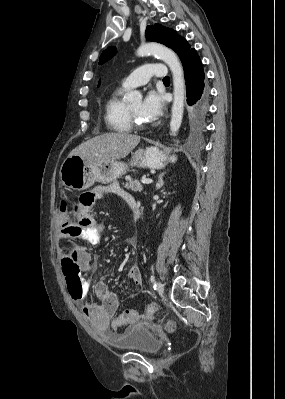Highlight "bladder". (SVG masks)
Wrapping results in <instances>:
<instances>
[{
  "label": "bladder",
  "mask_w": 285,
  "mask_h": 399,
  "mask_svg": "<svg viewBox=\"0 0 285 399\" xmlns=\"http://www.w3.org/2000/svg\"><path fill=\"white\" fill-rule=\"evenodd\" d=\"M111 346L121 351H134L142 354H156L161 347L154 334L142 326H134L126 330L121 336L109 335Z\"/></svg>",
  "instance_id": "obj_1"
}]
</instances>
